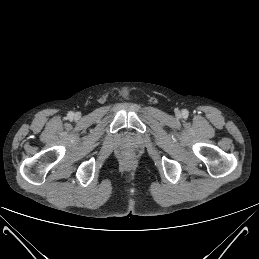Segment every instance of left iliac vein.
<instances>
[{
	"label": "left iliac vein",
	"mask_w": 259,
	"mask_h": 259,
	"mask_svg": "<svg viewBox=\"0 0 259 259\" xmlns=\"http://www.w3.org/2000/svg\"><path fill=\"white\" fill-rule=\"evenodd\" d=\"M176 115H177V116H180V112H179V111H177V112H176Z\"/></svg>",
	"instance_id": "left-iliac-vein-1"
}]
</instances>
